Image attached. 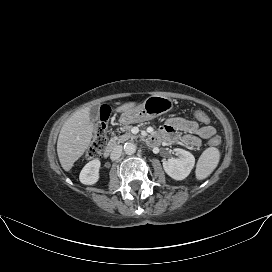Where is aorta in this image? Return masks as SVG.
Wrapping results in <instances>:
<instances>
[{"mask_svg": "<svg viewBox=\"0 0 272 272\" xmlns=\"http://www.w3.org/2000/svg\"><path fill=\"white\" fill-rule=\"evenodd\" d=\"M124 151L128 155H132L136 152V145L132 142H126L124 144Z\"/></svg>", "mask_w": 272, "mask_h": 272, "instance_id": "obj_1", "label": "aorta"}]
</instances>
